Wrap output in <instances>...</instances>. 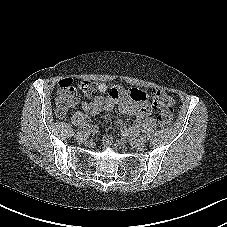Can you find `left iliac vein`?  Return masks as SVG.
I'll return each mask as SVG.
<instances>
[{"label":"left iliac vein","instance_id":"4c4485c4","mask_svg":"<svg viewBox=\"0 0 227 227\" xmlns=\"http://www.w3.org/2000/svg\"><path fill=\"white\" fill-rule=\"evenodd\" d=\"M132 145L136 149H143L146 146V142L143 139H136L132 142Z\"/></svg>","mask_w":227,"mask_h":227}]
</instances>
